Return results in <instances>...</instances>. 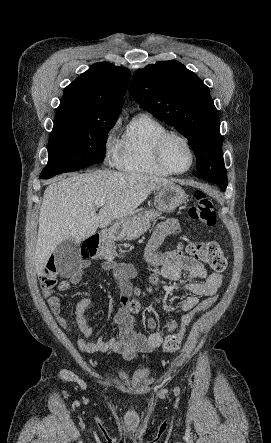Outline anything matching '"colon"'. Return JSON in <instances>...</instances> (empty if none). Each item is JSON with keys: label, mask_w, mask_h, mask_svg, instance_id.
Returning a JSON list of instances; mask_svg holds the SVG:
<instances>
[{"label": "colon", "mask_w": 271, "mask_h": 443, "mask_svg": "<svg viewBox=\"0 0 271 443\" xmlns=\"http://www.w3.org/2000/svg\"><path fill=\"white\" fill-rule=\"evenodd\" d=\"M189 216L192 220L198 221L207 227L215 225L216 214L213 201L205 192L201 190L195 192V204L189 209ZM187 249L215 272H223L226 269L227 260L217 242L189 244ZM82 255L86 259L112 260L118 255V253L114 246L109 242L95 236L87 240L83 247ZM39 282L43 290H50L56 285L57 268L53 259L48 262L47 267L41 273ZM216 300L217 296L208 297L200 301L191 311L186 313L181 319L178 331L165 338L162 346L163 351L165 353L177 351L194 317L209 309ZM138 308V301L131 299L129 310L137 311Z\"/></svg>", "instance_id": "1"}]
</instances>
